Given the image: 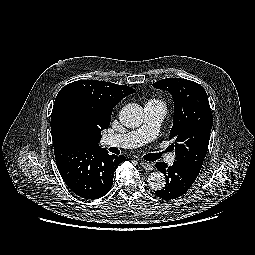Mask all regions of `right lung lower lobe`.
<instances>
[{"mask_svg": "<svg viewBox=\"0 0 255 255\" xmlns=\"http://www.w3.org/2000/svg\"><path fill=\"white\" fill-rule=\"evenodd\" d=\"M57 168L66 185L84 199L107 194L113 184L117 166L125 156L109 155L105 149L61 147L54 150Z\"/></svg>", "mask_w": 255, "mask_h": 255, "instance_id": "obj_1", "label": "right lung lower lobe"}]
</instances>
